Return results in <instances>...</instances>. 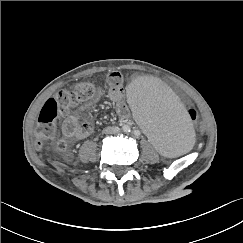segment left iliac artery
<instances>
[{
    "mask_svg": "<svg viewBox=\"0 0 243 243\" xmlns=\"http://www.w3.org/2000/svg\"><path fill=\"white\" fill-rule=\"evenodd\" d=\"M133 133H134L135 135H138V130H134Z\"/></svg>",
    "mask_w": 243,
    "mask_h": 243,
    "instance_id": "44dca946",
    "label": "left iliac artery"
}]
</instances>
